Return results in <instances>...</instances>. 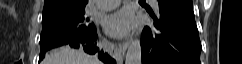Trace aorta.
<instances>
[{"label":"aorta","mask_w":242,"mask_h":64,"mask_svg":"<svg viewBox=\"0 0 242 64\" xmlns=\"http://www.w3.org/2000/svg\"><path fill=\"white\" fill-rule=\"evenodd\" d=\"M125 64H141L140 39L131 40L127 53H126Z\"/></svg>","instance_id":"obj_1"}]
</instances>
